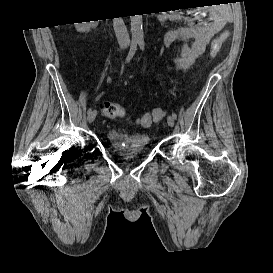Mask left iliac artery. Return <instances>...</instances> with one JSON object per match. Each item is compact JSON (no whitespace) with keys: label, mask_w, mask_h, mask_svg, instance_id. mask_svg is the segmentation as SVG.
<instances>
[{"label":"left iliac artery","mask_w":273,"mask_h":273,"mask_svg":"<svg viewBox=\"0 0 273 273\" xmlns=\"http://www.w3.org/2000/svg\"><path fill=\"white\" fill-rule=\"evenodd\" d=\"M139 46H140V48H141L142 50H144V42H143V41H140V42H139ZM172 117H173L174 119H176V118H177V115H176L174 112H172Z\"/></svg>","instance_id":"1"}]
</instances>
